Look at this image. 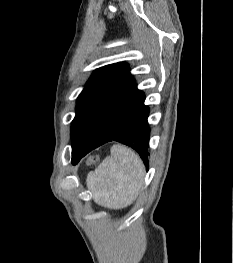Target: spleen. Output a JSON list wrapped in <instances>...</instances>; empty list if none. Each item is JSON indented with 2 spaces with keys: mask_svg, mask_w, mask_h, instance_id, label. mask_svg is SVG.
<instances>
[{
  "mask_svg": "<svg viewBox=\"0 0 233 263\" xmlns=\"http://www.w3.org/2000/svg\"><path fill=\"white\" fill-rule=\"evenodd\" d=\"M144 166L131 149L116 144L111 155L88 174L86 184L93 200L110 209L131 205L143 184Z\"/></svg>",
  "mask_w": 233,
  "mask_h": 263,
  "instance_id": "3e777b00",
  "label": "spleen"
}]
</instances>
